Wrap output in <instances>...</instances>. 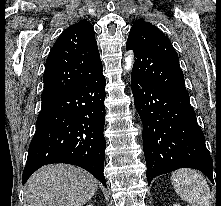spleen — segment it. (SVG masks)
<instances>
[{"instance_id":"1","label":"spleen","mask_w":221,"mask_h":206,"mask_svg":"<svg viewBox=\"0 0 221 206\" xmlns=\"http://www.w3.org/2000/svg\"><path fill=\"white\" fill-rule=\"evenodd\" d=\"M176 193L190 206H209L210 188L206 179L192 169H179L172 173Z\"/></svg>"}]
</instances>
